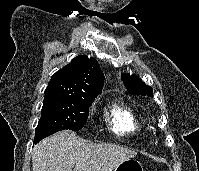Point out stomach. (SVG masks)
<instances>
[{"mask_svg":"<svg viewBox=\"0 0 199 171\" xmlns=\"http://www.w3.org/2000/svg\"><path fill=\"white\" fill-rule=\"evenodd\" d=\"M114 171H144L142 164L135 159L129 158L116 166Z\"/></svg>","mask_w":199,"mask_h":171,"instance_id":"0dacf381","label":"stomach"}]
</instances>
